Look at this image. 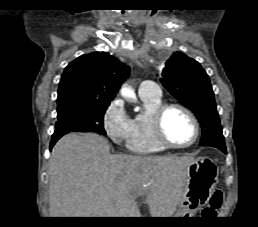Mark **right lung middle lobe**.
Masks as SVG:
<instances>
[{
    "mask_svg": "<svg viewBox=\"0 0 258 227\" xmlns=\"http://www.w3.org/2000/svg\"><path fill=\"white\" fill-rule=\"evenodd\" d=\"M109 104L74 96L58 98L55 131L96 132L106 135L103 117Z\"/></svg>",
    "mask_w": 258,
    "mask_h": 227,
    "instance_id": "right-lung-middle-lobe-1",
    "label": "right lung middle lobe"
}]
</instances>
